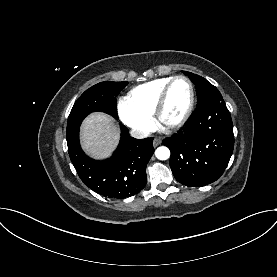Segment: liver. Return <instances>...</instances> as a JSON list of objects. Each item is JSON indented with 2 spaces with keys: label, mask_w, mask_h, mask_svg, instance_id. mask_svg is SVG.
<instances>
[{
  "label": "liver",
  "mask_w": 277,
  "mask_h": 277,
  "mask_svg": "<svg viewBox=\"0 0 277 277\" xmlns=\"http://www.w3.org/2000/svg\"><path fill=\"white\" fill-rule=\"evenodd\" d=\"M119 141V130L106 114L93 113L81 126L82 147L91 157L103 159L111 155Z\"/></svg>",
  "instance_id": "6515ba94"
}]
</instances>
